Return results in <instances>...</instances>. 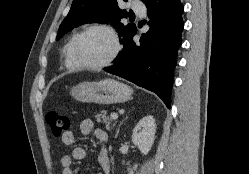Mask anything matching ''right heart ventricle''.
<instances>
[{"instance_id":"e07e8e85","label":"right heart ventricle","mask_w":249,"mask_h":174,"mask_svg":"<svg viewBox=\"0 0 249 174\" xmlns=\"http://www.w3.org/2000/svg\"><path fill=\"white\" fill-rule=\"evenodd\" d=\"M78 34L79 32H76L71 36L70 40L68 41L64 49V64L66 68L70 70H77L79 68L72 54V47Z\"/></svg>"}]
</instances>
